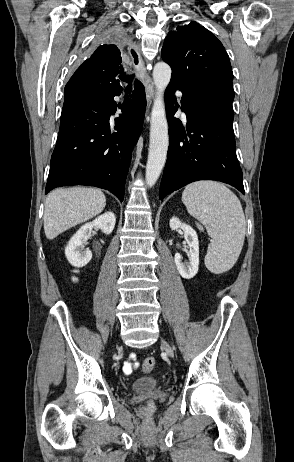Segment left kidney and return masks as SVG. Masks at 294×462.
Returning a JSON list of instances; mask_svg holds the SVG:
<instances>
[{"label": "left kidney", "instance_id": "1", "mask_svg": "<svg viewBox=\"0 0 294 462\" xmlns=\"http://www.w3.org/2000/svg\"><path fill=\"white\" fill-rule=\"evenodd\" d=\"M170 228L177 230L181 228L184 232V238L189 246V260L182 262V256L179 253L175 254V264L180 275L185 279L193 278L199 269V241L196 231L189 225L182 223L178 218L170 219Z\"/></svg>", "mask_w": 294, "mask_h": 462}]
</instances>
